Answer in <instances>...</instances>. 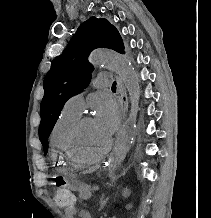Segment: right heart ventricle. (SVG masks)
Masks as SVG:
<instances>
[{
    "mask_svg": "<svg viewBox=\"0 0 211 218\" xmlns=\"http://www.w3.org/2000/svg\"><path fill=\"white\" fill-rule=\"evenodd\" d=\"M80 118L77 114L64 107L59 113L52 130V143L50 162L53 169H80V164H74L68 153V133L74 123ZM93 163V162H91Z\"/></svg>",
    "mask_w": 211,
    "mask_h": 218,
    "instance_id": "obj_1",
    "label": "right heart ventricle"
}]
</instances>
